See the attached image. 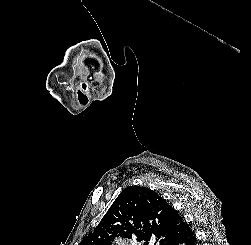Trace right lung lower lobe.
<instances>
[{"label": "right lung lower lobe", "instance_id": "98d812e1", "mask_svg": "<svg viewBox=\"0 0 251 245\" xmlns=\"http://www.w3.org/2000/svg\"><path fill=\"white\" fill-rule=\"evenodd\" d=\"M165 245H197L196 237L189 227L185 232H183L177 238L170 240Z\"/></svg>", "mask_w": 251, "mask_h": 245}]
</instances>
